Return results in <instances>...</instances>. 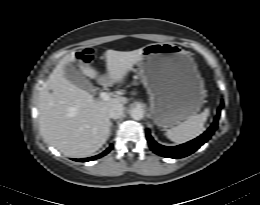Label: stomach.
<instances>
[{
	"label": "stomach",
	"instance_id": "obj_1",
	"mask_svg": "<svg viewBox=\"0 0 260 205\" xmlns=\"http://www.w3.org/2000/svg\"><path fill=\"white\" fill-rule=\"evenodd\" d=\"M138 65L150 116L158 127H174L200 111L204 80L189 52L169 42L149 44Z\"/></svg>",
	"mask_w": 260,
	"mask_h": 205
}]
</instances>
